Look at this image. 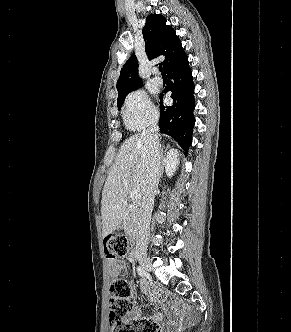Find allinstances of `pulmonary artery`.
Instances as JSON below:
<instances>
[{
    "mask_svg": "<svg viewBox=\"0 0 291 332\" xmlns=\"http://www.w3.org/2000/svg\"><path fill=\"white\" fill-rule=\"evenodd\" d=\"M153 82L156 84V85H161L163 83V80L160 76L156 75L154 76L153 78Z\"/></svg>",
    "mask_w": 291,
    "mask_h": 332,
    "instance_id": "1",
    "label": "pulmonary artery"
}]
</instances>
